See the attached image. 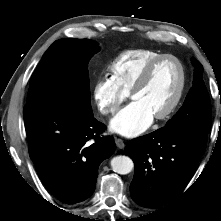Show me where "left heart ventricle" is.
Wrapping results in <instances>:
<instances>
[{
    "label": "left heart ventricle",
    "mask_w": 221,
    "mask_h": 221,
    "mask_svg": "<svg viewBox=\"0 0 221 221\" xmlns=\"http://www.w3.org/2000/svg\"><path fill=\"white\" fill-rule=\"evenodd\" d=\"M179 81L178 65L167 59L153 70L147 84L132 97V101L139 102L154 117L169 106L177 92Z\"/></svg>",
    "instance_id": "1"
}]
</instances>
